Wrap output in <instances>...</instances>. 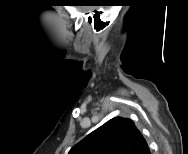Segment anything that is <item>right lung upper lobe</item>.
Masks as SVG:
<instances>
[{"label":"right lung upper lobe","mask_w":188,"mask_h":154,"mask_svg":"<svg viewBox=\"0 0 188 154\" xmlns=\"http://www.w3.org/2000/svg\"><path fill=\"white\" fill-rule=\"evenodd\" d=\"M68 154H150V150L132 120L115 117L72 147Z\"/></svg>","instance_id":"cb5924a9"}]
</instances>
